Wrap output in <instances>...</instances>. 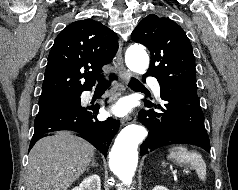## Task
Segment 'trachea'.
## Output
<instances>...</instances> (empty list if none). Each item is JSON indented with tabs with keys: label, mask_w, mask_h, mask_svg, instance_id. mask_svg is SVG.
I'll list each match as a JSON object with an SVG mask.
<instances>
[{
	"label": "trachea",
	"mask_w": 238,
	"mask_h": 190,
	"mask_svg": "<svg viewBox=\"0 0 238 190\" xmlns=\"http://www.w3.org/2000/svg\"><path fill=\"white\" fill-rule=\"evenodd\" d=\"M110 81L106 80L105 78H98V86H109ZM129 86L132 88H144V86L135 78H131L129 82Z\"/></svg>",
	"instance_id": "obj_1"
}]
</instances>
